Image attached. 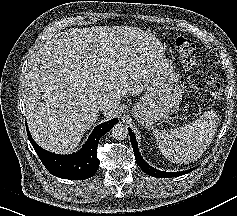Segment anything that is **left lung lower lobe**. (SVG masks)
Masks as SVG:
<instances>
[{"mask_svg": "<svg viewBox=\"0 0 237 216\" xmlns=\"http://www.w3.org/2000/svg\"><path fill=\"white\" fill-rule=\"evenodd\" d=\"M129 134H130V140H131V144L133 147V151H134V155H135V159L137 164L139 165V167L149 176L152 177H158V178H170V177H178L187 173H190L191 171H193L195 168L187 170V171H182V172H164V171H159L157 169H154L153 167H151L150 165H148L144 159L141 157L140 152L138 150V146H137V142L135 139V136L133 134V132L128 128Z\"/></svg>", "mask_w": 237, "mask_h": 216, "instance_id": "left-lung-lower-lobe-1", "label": "left lung lower lobe"}]
</instances>
